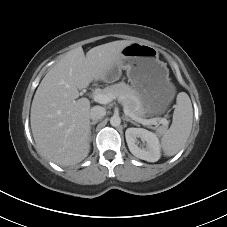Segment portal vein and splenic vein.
<instances>
[{
	"label": "portal vein and splenic vein",
	"instance_id": "1",
	"mask_svg": "<svg viewBox=\"0 0 227 227\" xmlns=\"http://www.w3.org/2000/svg\"><path fill=\"white\" fill-rule=\"evenodd\" d=\"M93 99H94V101H96L100 104H108L113 100V97L110 95H107V94L95 93L93 95ZM124 113L126 115H128L129 117H131L132 119H134L144 125H156L158 123L163 124V125L169 124L168 120L165 118L143 119V118L137 117L134 114H132L126 106H124Z\"/></svg>",
	"mask_w": 227,
	"mask_h": 227
}]
</instances>
